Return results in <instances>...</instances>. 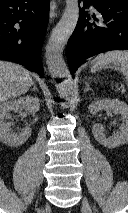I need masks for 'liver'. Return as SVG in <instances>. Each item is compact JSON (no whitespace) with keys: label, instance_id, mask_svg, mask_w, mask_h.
<instances>
[{"label":"liver","instance_id":"obj_1","mask_svg":"<svg viewBox=\"0 0 128 213\" xmlns=\"http://www.w3.org/2000/svg\"><path fill=\"white\" fill-rule=\"evenodd\" d=\"M33 85L31 74L21 65L0 61V103L25 94Z\"/></svg>","mask_w":128,"mask_h":213}]
</instances>
